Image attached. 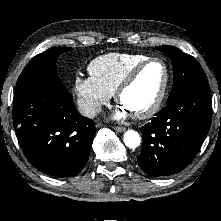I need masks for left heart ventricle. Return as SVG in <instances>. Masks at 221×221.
Wrapping results in <instances>:
<instances>
[{"label": "left heart ventricle", "instance_id": "1", "mask_svg": "<svg viewBox=\"0 0 221 221\" xmlns=\"http://www.w3.org/2000/svg\"><path fill=\"white\" fill-rule=\"evenodd\" d=\"M164 75L162 64L154 62L146 66L134 83L123 93L120 105L130 113L148 108L161 89Z\"/></svg>", "mask_w": 221, "mask_h": 221}]
</instances>
